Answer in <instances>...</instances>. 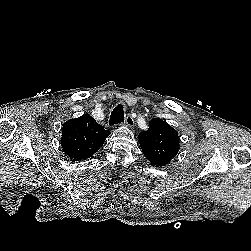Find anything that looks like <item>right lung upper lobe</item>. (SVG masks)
Listing matches in <instances>:
<instances>
[{
	"mask_svg": "<svg viewBox=\"0 0 251 251\" xmlns=\"http://www.w3.org/2000/svg\"><path fill=\"white\" fill-rule=\"evenodd\" d=\"M109 135L94 118L83 115L64 123L61 145L72 161H81L96 153Z\"/></svg>",
	"mask_w": 251,
	"mask_h": 251,
	"instance_id": "1",
	"label": "right lung upper lobe"
}]
</instances>
